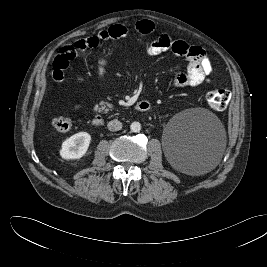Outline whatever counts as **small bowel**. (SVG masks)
Masks as SVG:
<instances>
[{
    "mask_svg": "<svg viewBox=\"0 0 267 267\" xmlns=\"http://www.w3.org/2000/svg\"><path fill=\"white\" fill-rule=\"evenodd\" d=\"M154 30L151 20H140L136 23V32L139 36H146ZM128 35V29L122 24H115L97 32L94 35L81 38L73 44L64 46L53 63L52 76L55 81L61 82L64 70L69 62L76 56L78 51L98 47L102 42L110 39H122ZM145 50L150 55H159L171 51L175 55L182 56L187 60L185 71L179 72L173 79V86L195 87L206 81L211 75L213 68L209 57L204 49L197 45H191L183 40H174L169 35L163 34L146 45ZM107 61L101 60L98 65V74L103 76L106 72ZM75 108H79L78 105Z\"/></svg>",
    "mask_w": 267,
    "mask_h": 267,
    "instance_id": "small-bowel-1",
    "label": "small bowel"
}]
</instances>
